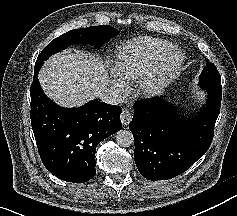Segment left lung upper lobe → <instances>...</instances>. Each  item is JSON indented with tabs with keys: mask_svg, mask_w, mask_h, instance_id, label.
I'll use <instances>...</instances> for the list:
<instances>
[{
	"mask_svg": "<svg viewBox=\"0 0 237 216\" xmlns=\"http://www.w3.org/2000/svg\"><path fill=\"white\" fill-rule=\"evenodd\" d=\"M207 64L200 75V86L207 92L221 95V78L213 63L206 59Z\"/></svg>",
	"mask_w": 237,
	"mask_h": 216,
	"instance_id": "5c2ea615",
	"label": "left lung upper lobe"
}]
</instances>
